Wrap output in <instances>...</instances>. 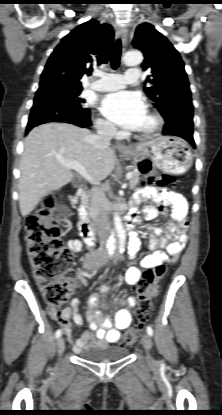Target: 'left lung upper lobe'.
Returning a JSON list of instances; mask_svg holds the SVG:
<instances>
[{
	"label": "left lung upper lobe",
	"instance_id": "5c2ea615",
	"mask_svg": "<svg viewBox=\"0 0 222 415\" xmlns=\"http://www.w3.org/2000/svg\"><path fill=\"white\" fill-rule=\"evenodd\" d=\"M132 45L144 54L143 70H148L144 91L165 120L180 118L184 105L192 103L184 62L168 39L149 23L140 24Z\"/></svg>",
	"mask_w": 222,
	"mask_h": 415
}]
</instances>
